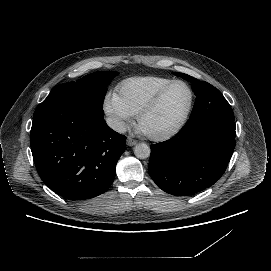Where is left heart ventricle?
Segmentation results:
<instances>
[{"label": "left heart ventricle", "instance_id": "1", "mask_svg": "<svg viewBox=\"0 0 271 271\" xmlns=\"http://www.w3.org/2000/svg\"><path fill=\"white\" fill-rule=\"evenodd\" d=\"M191 101V91L183 83L174 85L158 108L141 124L144 132L155 134L170 130L185 115Z\"/></svg>", "mask_w": 271, "mask_h": 271}]
</instances>
